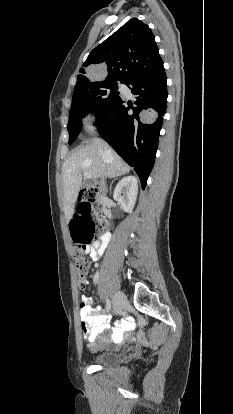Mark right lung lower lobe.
Masks as SVG:
<instances>
[{
	"instance_id": "right-lung-lower-lobe-1",
	"label": "right lung lower lobe",
	"mask_w": 233,
	"mask_h": 414,
	"mask_svg": "<svg viewBox=\"0 0 233 414\" xmlns=\"http://www.w3.org/2000/svg\"><path fill=\"white\" fill-rule=\"evenodd\" d=\"M126 84H131V92L139 95L134 102L136 106L120 98L99 115L95 125L102 138L134 168L144 189L154 165L167 106L164 68Z\"/></svg>"
}]
</instances>
